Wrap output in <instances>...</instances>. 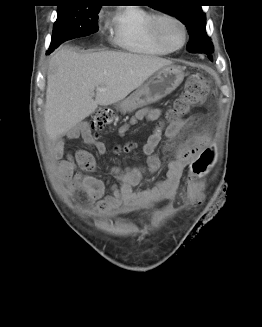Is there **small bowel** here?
Instances as JSON below:
<instances>
[{
    "instance_id": "small-bowel-1",
    "label": "small bowel",
    "mask_w": 262,
    "mask_h": 327,
    "mask_svg": "<svg viewBox=\"0 0 262 327\" xmlns=\"http://www.w3.org/2000/svg\"><path fill=\"white\" fill-rule=\"evenodd\" d=\"M162 115L159 108H145L137 111L127 123L119 129V135L123 136L131 125L140 120L155 121ZM186 121H174L167 128H155L148 136L142 146V153L146 156L145 167H112L111 173L117 179L118 184H107L90 174L95 169V159L86 150H78L73 155L62 158V149H57L54 153L57 160L56 173L59 179L69 185L71 192L80 191L86 195L89 205H94V210L100 215H110L114 213H129L141 208L151 206L161 201L171 200L175 197L180 186L187 165L197 164L196 153H206V138L204 136H192L186 138L177 148L176 157L169 163L164 177L153 187L135 191L134 187L140 184L144 176L155 173L161 166L157 149L163 136L169 139L176 138L185 128ZM81 137L86 144L93 146L99 154H105L106 145L98 141L91 133L87 123H81L76 128L71 129L67 139ZM79 167L82 172L76 173ZM199 173V172H194ZM188 180L194 179L193 173L187 174ZM107 186L110 189L108 195L105 194ZM186 193L191 200L192 206H206L204 190L197 191L195 183L186 184Z\"/></svg>"
}]
</instances>
